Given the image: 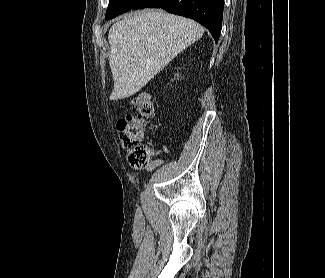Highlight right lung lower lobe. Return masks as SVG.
<instances>
[{"label":"right lung lower lobe","mask_w":325,"mask_h":278,"mask_svg":"<svg viewBox=\"0 0 325 278\" xmlns=\"http://www.w3.org/2000/svg\"><path fill=\"white\" fill-rule=\"evenodd\" d=\"M224 0H137L132 9L162 8L204 25L218 41L223 17Z\"/></svg>","instance_id":"obj_1"}]
</instances>
